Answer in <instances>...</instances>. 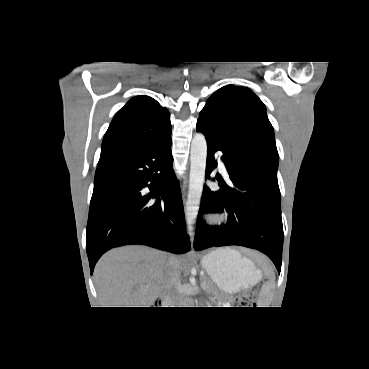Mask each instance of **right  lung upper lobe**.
<instances>
[{
    "label": "right lung upper lobe",
    "instance_id": "right-lung-upper-lobe-1",
    "mask_svg": "<svg viewBox=\"0 0 369 369\" xmlns=\"http://www.w3.org/2000/svg\"><path fill=\"white\" fill-rule=\"evenodd\" d=\"M170 133L169 112L149 96L134 97L114 116L103 138L99 163Z\"/></svg>",
    "mask_w": 369,
    "mask_h": 369
}]
</instances>
